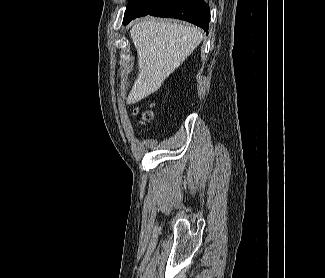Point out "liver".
<instances>
[{
	"label": "liver",
	"instance_id": "liver-1",
	"mask_svg": "<svg viewBox=\"0 0 325 278\" xmlns=\"http://www.w3.org/2000/svg\"><path fill=\"white\" fill-rule=\"evenodd\" d=\"M130 37L138 54V77L127 98L135 104L157 91L203 39L202 30L174 21L144 19Z\"/></svg>",
	"mask_w": 325,
	"mask_h": 278
}]
</instances>
